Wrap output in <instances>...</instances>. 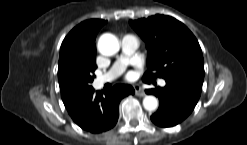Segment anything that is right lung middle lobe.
Segmentation results:
<instances>
[{
	"mask_svg": "<svg viewBox=\"0 0 247 145\" xmlns=\"http://www.w3.org/2000/svg\"><path fill=\"white\" fill-rule=\"evenodd\" d=\"M95 61H85L75 57H65L59 60L58 80L62 100H68L92 89Z\"/></svg>",
	"mask_w": 247,
	"mask_h": 145,
	"instance_id": "obj_1",
	"label": "right lung middle lobe"
}]
</instances>
